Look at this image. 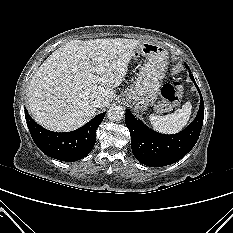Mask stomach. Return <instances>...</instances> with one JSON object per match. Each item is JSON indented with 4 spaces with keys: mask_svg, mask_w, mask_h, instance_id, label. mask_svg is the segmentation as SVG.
Instances as JSON below:
<instances>
[{
    "mask_svg": "<svg viewBox=\"0 0 233 233\" xmlns=\"http://www.w3.org/2000/svg\"><path fill=\"white\" fill-rule=\"evenodd\" d=\"M146 57L147 62L141 68L134 84L125 91L126 99L136 109L144 110L153 105L160 94V86L168 65V52L160 45L142 42L134 51L133 58Z\"/></svg>",
    "mask_w": 233,
    "mask_h": 233,
    "instance_id": "1",
    "label": "stomach"
}]
</instances>
